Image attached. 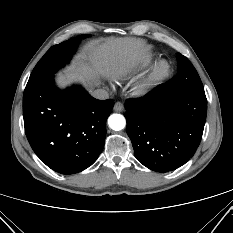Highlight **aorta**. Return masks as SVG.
I'll use <instances>...</instances> for the list:
<instances>
[{
	"label": "aorta",
	"mask_w": 233,
	"mask_h": 233,
	"mask_svg": "<svg viewBox=\"0 0 233 233\" xmlns=\"http://www.w3.org/2000/svg\"><path fill=\"white\" fill-rule=\"evenodd\" d=\"M108 124L112 130L119 131V130L124 129L126 125V120L124 116L121 114H112L108 118Z\"/></svg>",
	"instance_id": "aorta-1"
}]
</instances>
